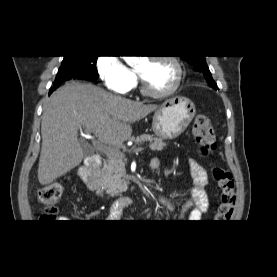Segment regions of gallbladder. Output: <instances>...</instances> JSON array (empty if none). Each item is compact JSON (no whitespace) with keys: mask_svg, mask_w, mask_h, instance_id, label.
Masks as SVG:
<instances>
[{"mask_svg":"<svg viewBox=\"0 0 277 277\" xmlns=\"http://www.w3.org/2000/svg\"><path fill=\"white\" fill-rule=\"evenodd\" d=\"M81 143V147H82V150H83V153L85 155H91L92 154V151L91 149L87 146V144L84 142V141H80Z\"/></svg>","mask_w":277,"mask_h":277,"instance_id":"1","label":"gallbladder"}]
</instances>
